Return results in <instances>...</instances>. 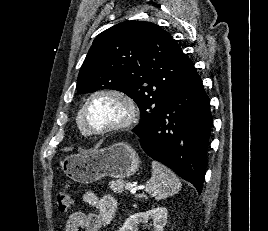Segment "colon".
<instances>
[{
  "label": "colon",
  "mask_w": 268,
  "mask_h": 231,
  "mask_svg": "<svg viewBox=\"0 0 268 231\" xmlns=\"http://www.w3.org/2000/svg\"><path fill=\"white\" fill-rule=\"evenodd\" d=\"M75 197L68 192H59L57 195V206L61 213H68L75 205Z\"/></svg>",
  "instance_id": "1"
}]
</instances>
